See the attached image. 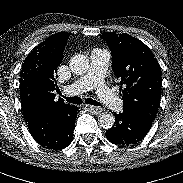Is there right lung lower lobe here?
<instances>
[{"label":"right lung lower lobe","mask_w":183,"mask_h":183,"mask_svg":"<svg viewBox=\"0 0 183 183\" xmlns=\"http://www.w3.org/2000/svg\"><path fill=\"white\" fill-rule=\"evenodd\" d=\"M79 112L76 106L66 112L40 111L27 121L34 140L50 150H61L73 140L75 119Z\"/></svg>","instance_id":"right-lung-lower-lobe-1"}]
</instances>
